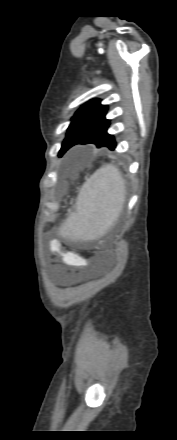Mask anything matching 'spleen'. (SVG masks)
<instances>
[{"instance_id":"3e777b00","label":"spleen","mask_w":177,"mask_h":440,"mask_svg":"<svg viewBox=\"0 0 177 440\" xmlns=\"http://www.w3.org/2000/svg\"><path fill=\"white\" fill-rule=\"evenodd\" d=\"M125 201V182L114 165L97 170L83 185L77 198V212L59 229L70 239H93L106 233L119 217Z\"/></svg>"}]
</instances>
